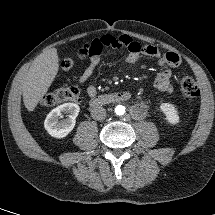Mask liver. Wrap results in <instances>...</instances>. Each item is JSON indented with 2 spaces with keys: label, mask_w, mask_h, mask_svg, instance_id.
<instances>
[{
  "label": "liver",
  "mask_w": 215,
  "mask_h": 215,
  "mask_svg": "<svg viewBox=\"0 0 215 215\" xmlns=\"http://www.w3.org/2000/svg\"><path fill=\"white\" fill-rule=\"evenodd\" d=\"M59 69L56 48L43 51L31 64L21 80V91L26 109L33 111L47 93Z\"/></svg>",
  "instance_id": "liver-1"
}]
</instances>
